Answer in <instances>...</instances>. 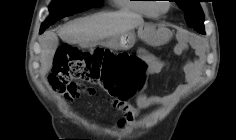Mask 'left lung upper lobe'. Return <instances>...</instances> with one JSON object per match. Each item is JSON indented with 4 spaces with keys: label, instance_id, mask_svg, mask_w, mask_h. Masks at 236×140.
<instances>
[{
    "label": "left lung upper lobe",
    "instance_id": "left-lung-upper-lobe-1",
    "mask_svg": "<svg viewBox=\"0 0 236 140\" xmlns=\"http://www.w3.org/2000/svg\"><path fill=\"white\" fill-rule=\"evenodd\" d=\"M178 6L185 11V19L189 27L194 28L198 33L205 34L204 14L199 0H174Z\"/></svg>",
    "mask_w": 236,
    "mask_h": 140
}]
</instances>
